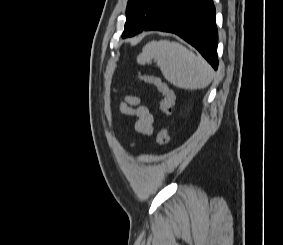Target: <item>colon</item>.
Masks as SVG:
<instances>
[{
    "label": "colon",
    "instance_id": "colon-1",
    "mask_svg": "<svg viewBox=\"0 0 283 245\" xmlns=\"http://www.w3.org/2000/svg\"><path fill=\"white\" fill-rule=\"evenodd\" d=\"M137 77L143 83L154 86L161 94L162 99L159 103V111L163 117L171 114L175 102L173 90L158 76L150 73H137ZM170 141L169 130L167 126H162L157 134V142L160 146H165Z\"/></svg>",
    "mask_w": 283,
    "mask_h": 245
}]
</instances>
